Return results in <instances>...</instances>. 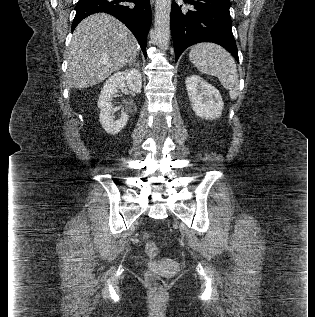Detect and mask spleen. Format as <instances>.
<instances>
[{"label": "spleen", "instance_id": "obj_1", "mask_svg": "<svg viewBox=\"0 0 315 317\" xmlns=\"http://www.w3.org/2000/svg\"><path fill=\"white\" fill-rule=\"evenodd\" d=\"M189 59L201 73L218 77L232 100L237 98L239 79L236 63L224 48L214 43H199L191 47Z\"/></svg>", "mask_w": 315, "mask_h": 317}]
</instances>
